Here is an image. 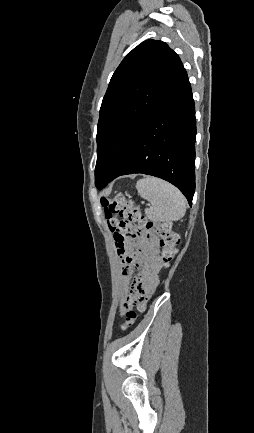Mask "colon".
<instances>
[{
	"instance_id": "obj_1",
	"label": "colon",
	"mask_w": 254,
	"mask_h": 433,
	"mask_svg": "<svg viewBox=\"0 0 254 433\" xmlns=\"http://www.w3.org/2000/svg\"><path fill=\"white\" fill-rule=\"evenodd\" d=\"M101 204L104 208L106 223L113 234L117 254H125L126 243L136 235L146 230L145 234L154 233L158 239L160 256L165 264H169L178 252L179 236L172 231L170 223L155 225L148 221L141 209L123 194H118L113 198H102ZM120 217L117 221L116 217ZM145 301H139L128 297L124 302L123 316L125 319L124 327L134 323L137 313L133 306L138 304L139 310L143 309Z\"/></svg>"
}]
</instances>
